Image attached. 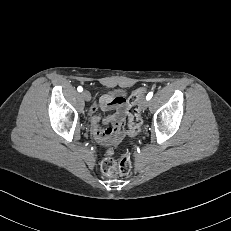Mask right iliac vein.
Returning <instances> with one entry per match:
<instances>
[{"label":"right iliac vein","instance_id":"1","mask_svg":"<svg viewBox=\"0 0 231 231\" xmlns=\"http://www.w3.org/2000/svg\"><path fill=\"white\" fill-rule=\"evenodd\" d=\"M82 97L84 100L86 101H90L91 100V94L89 91L87 90H84L82 93H81Z\"/></svg>","mask_w":231,"mask_h":231}]
</instances>
